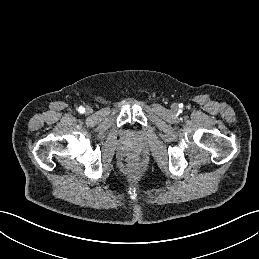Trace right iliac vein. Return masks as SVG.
<instances>
[{
	"label": "right iliac vein",
	"mask_w": 259,
	"mask_h": 259,
	"mask_svg": "<svg viewBox=\"0 0 259 259\" xmlns=\"http://www.w3.org/2000/svg\"><path fill=\"white\" fill-rule=\"evenodd\" d=\"M91 112H92V109H91L90 107H87V108H86V113H87V114H90Z\"/></svg>",
	"instance_id": "1"
}]
</instances>
